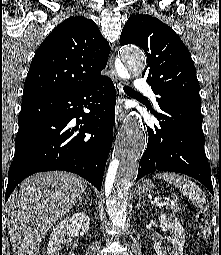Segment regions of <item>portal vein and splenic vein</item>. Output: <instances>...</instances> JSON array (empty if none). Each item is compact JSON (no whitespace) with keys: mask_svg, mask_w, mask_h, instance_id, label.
Masks as SVG:
<instances>
[{"mask_svg":"<svg viewBox=\"0 0 221 255\" xmlns=\"http://www.w3.org/2000/svg\"><path fill=\"white\" fill-rule=\"evenodd\" d=\"M167 203H168V201L167 202H165V201L163 202V204H167Z\"/></svg>","mask_w":221,"mask_h":255,"instance_id":"portal-vein-and-splenic-vein-1","label":"portal vein and splenic vein"}]
</instances>
